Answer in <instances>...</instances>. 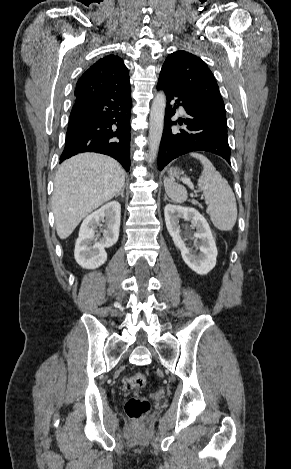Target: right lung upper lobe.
Instances as JSON below:
<instances>
[{"label":"right lung upper lobe","mask_w":291,"mask_h":469,"mask_svg":"<svg viewBox=\"0 0 291 469\" xmlns=\"http://www.w3.org/2000/svg\"><path fill=\"white\" fill-rule=\"evenodd\" d=\"M106 91L130 93L128 69L115 55L99 59L83 73L76 85L75 101Z\"/></svg>","instance_id":"right-lung-upper-lobe-1"}]
</instances>
